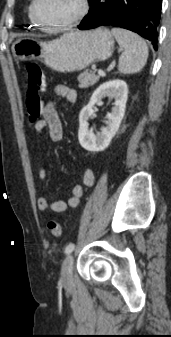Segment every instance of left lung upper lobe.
Wrapping results in <instances>:
<instances>
[{
    "instance_id": "5c2ea615",
    "label": "left lung upper lobe",
    "mask_w": 171,
    "mask_h": 337,
    "mask_svg": "<svg viewBox=\"0 0 171 337\" xmlns=\"http://www.w3.org/2000/svg\"><path fill=\"white\" fill-rule=\"evenodd\" d=\"M89 1V3H91L93 0H88Z\"/></svg>"
}]
</instances>
